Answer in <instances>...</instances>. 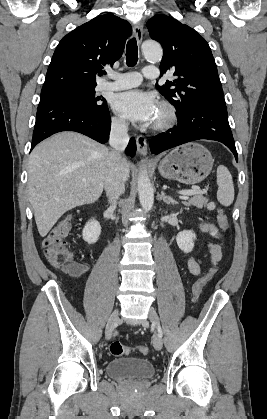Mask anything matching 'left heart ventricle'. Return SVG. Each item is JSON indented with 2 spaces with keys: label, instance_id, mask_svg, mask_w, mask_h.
Instances as JSON below:
<instances>
[{
  "label": "left heart ventricle",
  "instance_id": "b2bd125f",
  "mask_svg": "<svg viewBox=\"0 0 267 419\" xmlns=\"http://www.w3.org/2000/svg\"><path fill=\"white\" fill-rule=\"evenodd\" d=\"M163 117V113L161 112V110L158 108L157 114L155 116V119L153 122H157L159 121L161 118Z\"/></svg>",
  "mask_w": 267,
  "mask_h": 419
}]
</instances>
